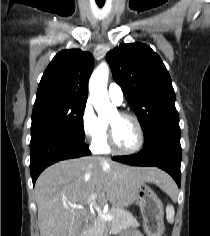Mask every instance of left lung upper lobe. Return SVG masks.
<instances>
[{
    "instance_id": "obj_1",
    "label": "left lung upper lobe",
    "mask_w": 210,
    "mask_h": 236,
    "mask_svg": "<svg viewBox=\"0 0 210 236\" xmlns=\"http://www.w3.org/2000/svg\"><path fill=\"white\" fill-rule=\"evenodd\" d=\"M106 58L145 136L159 125L179 123L170 75L148 45L121 44Z\"/></svg>"
}]
</instances>
